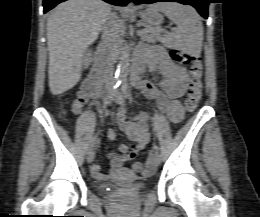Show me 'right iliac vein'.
Returning <instances> with one entry per match:
<instances>
[{"instance_id": "right-iliac-vein-1", "label": "right iliac vein", "mask_w": 260, "mask_h": 217, "mask_svg": "<svg viewBox=\"0 0 260 217\" xmlns=\"http://www.w3.org/2000/svg\"><path fill=\"white\" fill-rule=\"evenodd\" d=\"M94 159V149L91 147L87 152V162L91 163Z\"/></svg>"}]
</instances>
